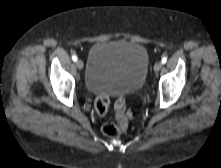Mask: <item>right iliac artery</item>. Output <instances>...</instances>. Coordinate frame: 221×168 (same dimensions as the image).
Returning <instances> with one entry per match:
<instances>
[{
	"label": "right iliac artery",
	"mask_w": 221,
	"mask_h": 168,
	"mask_svg": "<svg viewBox=\"0 0 221 168\" xmlns=\"http://www.w3.org/2000/svg\"><path fill=\"white\" fill-rule=\"evenodd\" d=\"M72 60H73L74 62H76V61H77V56H76V55H73V56H72Z\"/></svg>",
	"instance_id": "82829eb1"
}]
</instances>
